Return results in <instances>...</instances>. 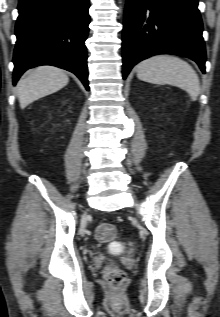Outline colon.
I'll use <instances>...</instances> for the list:
<instances>
[{"instance_id":"colon-1","label":"colon","mask_w":220,"mask_h":317,"mask_svg":"<svg viewBox=\"0 0 220 317\" xmlns=\"http://www.w3.org/2000/svg\"><path fill=\"white\" fill-rule=\"evenodd\" d=\"M116 235V228L110 223H100L95 230V237L100 242L112 240ZM103 277L108 285L113 290L119 289L126 280V275L123 270L114 264H108L103 272Z\"/></svg>"}]
</instances>
